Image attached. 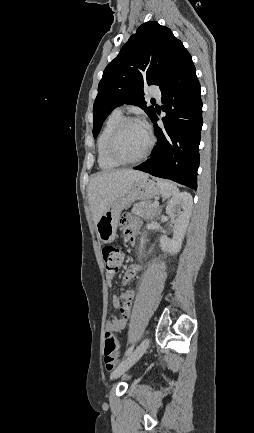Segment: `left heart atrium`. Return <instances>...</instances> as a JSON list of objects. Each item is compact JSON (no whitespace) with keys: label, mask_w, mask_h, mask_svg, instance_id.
<instances>
[{"label":"left heart atrium","mask_w":254,"mask_h":433,"mask_svg":"<svg viewBox=\"0 0 254 433\" xmlns=\"http://www.w3.org/2000/svg\"><path fill=\"white\" fill-rule=\"evenodd\" d=\"M141 125L146 129V124L143 122V123H141Z\"/></svg>","instance_id":"39dd6f15"}]
</instances>
